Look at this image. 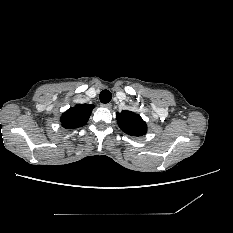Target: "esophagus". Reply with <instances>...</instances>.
<instances>
[{"mask_svg": "<svg viewBox=\"0 0 233 233\" xmlns=\"http://www.w3.org/2000/svg\"><path fill=\"white\" fill-rule=\"evenodd\" d=\"M102 107L110 109L112 107L111 103L101 104Z\"/></svg>", "mask_w": 233, "mask_h": 233, "instance_id": "1", "label": "esophagus"}]
</instances>
